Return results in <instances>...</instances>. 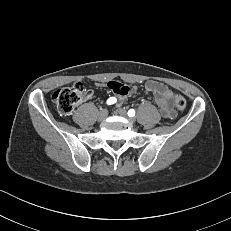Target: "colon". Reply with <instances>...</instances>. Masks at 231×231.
I'll return each instance as SVG.
<instances>
[{
	"mask_svg": "<svg viewBox=\"0 0 231 231\" xmlns=\"http://www.w3.org/2000/svg\"><path fill=\"white\" fill-rule=\"evenodd\" d=\"M88 95L89 93L84 86L81 83H76L57 89L52 95V100L58 112L61 115L67 116L71 114L75 107ZM174 103L179 110L185 109L187 105L186 99L181 95L175 96Z\"/></svg>",
	"mask_w": 231,
	"mask_h": 231,
	"instance_id": "1",
	"label": "colon"
}]
</instances>
